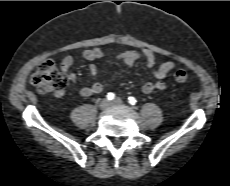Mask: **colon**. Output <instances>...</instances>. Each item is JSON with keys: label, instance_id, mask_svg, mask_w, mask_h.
<instances>
[{"label": "colon", "instance_id": "obj_1", "mask_svg": "<svg viewBox=\"0 0 230 186\" xmlns=\"http://www.w3.org/2000/svg\"><path fill=\"white\" fill-rule=\"evenodd\" d=\"M172 77L176 82L184 83L188 81L189 74L184 70H178ZM30 81L39 92L55 95L62 93L68 83L66 76L52 60L43 61L32 73Z\"/></svg>", "mask_w": 230, "mask_h": 186}]
</instances>
